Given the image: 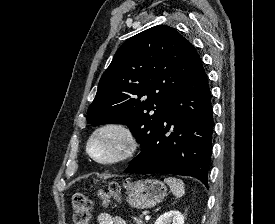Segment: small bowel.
<instances>
[{
	"label": "small bowel",
	"mask_w": 275,
	"mask_h": 224,
	"mask_svg": "<svg viewBox=\"0 0 275 224\" xmlns=\"http://www.w3.org/2000/svg\"><path fill=\"white\" fill-rule=\"evenodd\" d=\"M97 221L98 224H127L122 217L112 216L108 213H100Z\"/></svg>",
	"instance_id": "obj_1"
}]
</instances>
